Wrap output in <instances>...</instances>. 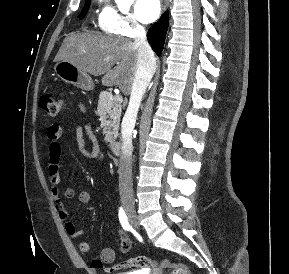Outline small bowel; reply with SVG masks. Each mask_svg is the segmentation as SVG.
<instances>
[{"instance_id":"obj_1","label":"small bowel","mask_w":289,"mask_h":274,"mask_svg":"<svg viewBox=\"0 0 289 274\" xmlns=\"http://www.w3.org/2000/svg\"><path fill=\"white\" fill-rule=\"evenodd\" d=\"M67 123H53L47 130V139L49 141L48 148V176L51 183V196L58 213V216L62 220H67L69 213L64 204V199H70L75 197L76 191L72 187H60L61 172L59 166V160L62 153L61 138L67 129ZM76 133L78 137H82L84 134L88 136L93 144L91 150L86 151L89 157L101 159L103 157L97 143L96 136L90 125L84 127L76 126ZM78 199L81 203L87 204L91 200V194L87 190H81L78 193ZM65 229L69 236L73 238L80 237L84 234V231L78 229L73 222L66 221ZM120 244L118 251L120 253H127L131 249V240L123 230H119ZM79 250L82 253H88L90 251V244L87 241H81L78 245ZM116 250L110 247L104 248L100 253V261L105 264H111L116 259Z\"/></svg>"}]
</instances>
